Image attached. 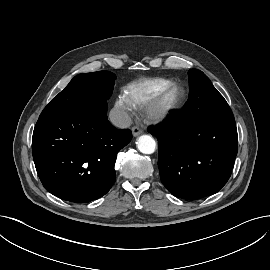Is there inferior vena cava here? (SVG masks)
<instances>
[{
  "instance_id": "602c4592",
  "label": "inferior vena cava",
  "mask_w": 270,
  "mask_h": 270,
  "mask_svg": "<svg viewBox=\"0 0 270 270\" xmlns=\"http://www.w3.org/2000/svg\"><path fill=\"white\" fill-rule=\"evenodd\" d=\"M110 121L118 128H128L131 125V118L121 109L113 108L109 113Z\"/></svg>"
}]
</instances>
